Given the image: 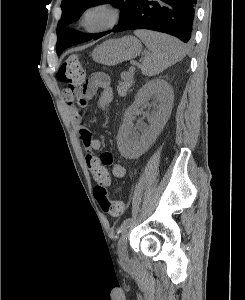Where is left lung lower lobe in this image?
Listing matches in <instances>:
<instances>
[{
  "label": "left lung lower lobe",
  "instance_id": "obj_1",
  "mask_svg": "<svg viewBox=\"0 0 245 300\" xmlns=\"http://www.w3.org/2000/svg\"><path fill=\"white\" fill-rule=\"evenodd\" d=\"M196 2L197 0H134L131 14L112 32L149 29L173 35L185 43H190Z\"/></svg>",
  "mask_w": 245,
  "mask_h": 300
}]
</instances>
